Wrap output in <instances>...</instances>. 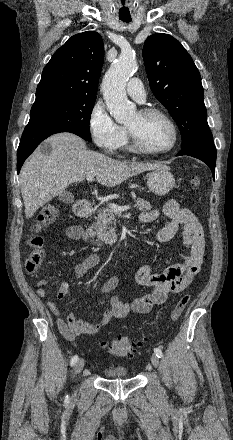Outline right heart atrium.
Listing matches in <instances>:
<instances>
[{
  "instance_id": "obj_1",
  "label": "right heart atrium",
  "mask_w": 233,
  "mask_h": 440,
  "mask_svg": "<svg viewBox=\"0 0 233 440\" xmlns=\"http://www.w3.org/2000/svg\"><path fill=\"white\" fill-rule=\"evenodd\" d=\"M89 131L95 145L106 154L116 153L126 138L125 128L114 121L101 103H96L90 112Z\"/></svg>"
}]
</instances>
